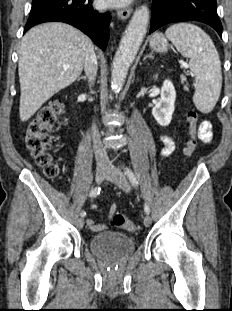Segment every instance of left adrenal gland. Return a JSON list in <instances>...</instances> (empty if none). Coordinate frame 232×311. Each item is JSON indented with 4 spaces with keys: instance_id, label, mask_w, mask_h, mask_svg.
I'll list each match as a JSON object with an SVG mask.
<instances>
[{
    "instance_id": "obj_1",
    "label": "left adrenal gland",
    "mask_w": 232,
    "mask_h": 311,
    "mask_svg": "<svg viewBox=\"0 0 232 311\" xmlns=\"http://www.w3.org/2000/svg\"><path fill=\"white\" fill-rule=\"evenodd\" d=\"M147 58L153 59L154 57H153L152 53H149L148 55H146L144 57V60L147 59Z\"/></svg>"
}]
</instances>
